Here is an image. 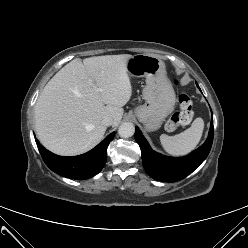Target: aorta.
Instances as JSON below:
<instances>
[{"instance_id":"aorta-1","label":"aorta","mask_w":248,"mask_h":248,"mask_svg":"<svg viewBox=\"0 0 248 248\" xmlns=\"http://www.w3.org/2000/svg\"><path fill=\"white\" fill-rule=\"evenodd\" d=\"M134 132L135 126L130 122L122 123L118 128V134L122 138H129L133 136Z\"/></svg>"}]
</instances>
